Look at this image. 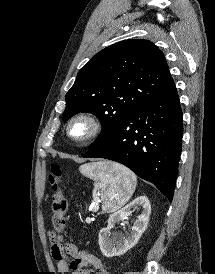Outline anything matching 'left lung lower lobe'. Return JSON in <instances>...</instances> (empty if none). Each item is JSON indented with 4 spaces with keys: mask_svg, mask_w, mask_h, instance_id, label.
<instances>
[{
    "mask_svg": "<svg viewBox=\"0 0 215 274\" xmlns=\"http://www.w3.org/2000/svg\"><path fill=\"white\" fill-rule=\"evenodd\" d=\"M183 136L174 81L138 106L84 158H104L130 168L172 201Z\"/></svg>",
    "mask_w": 215,
    "mask_h": 274,
    "instance_id": "0a47b994",
    "label": "left lung lower lobe"
}]
</instances>
